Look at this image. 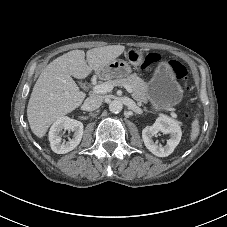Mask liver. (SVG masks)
<instances>
[{"instance_id": "1", "label": "liver", "mask_w": 227, "mask_h": 227, "mask_svg": "<svg viewBox=\"0 0 227 227\" xmlns=\"http://www.w3.org/2000/svg\"><path fill=\"white\" fill-rule=\"evenodd\" d=\"M124 50L123 45L93 48L86 54L72 50L49 63L37 79L27 106L32 132L42 138L52 123L82 104L86 94L72 77L84 79L92 70H102Z\"/></svg>"}]
</instances>
